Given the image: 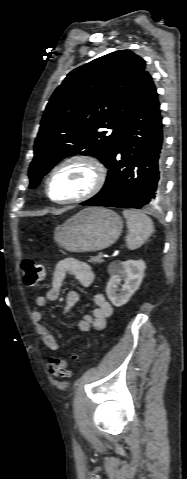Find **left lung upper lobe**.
Here are the masks:
<instances>
[{
	"instance_id": "5c2ea615",
	"label": "left lung upper lobe",
	"mask_w": 187,
	"mask_h": 479,
	"mask_svg": "<svg viewBox=\"0 0 187 479\" xmlns=\"http://www.w3.org/2000/svg\"><path fill=\"white\" fill-rule=\"evenodd\" d=\"M145 61L119 50L71 71L53 93L35 140L30 188L65 157L82 154L107 166L145 77ZM107 129H113L112 132Z\"/></svg>"
}]
</instances>
